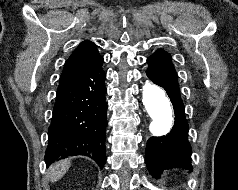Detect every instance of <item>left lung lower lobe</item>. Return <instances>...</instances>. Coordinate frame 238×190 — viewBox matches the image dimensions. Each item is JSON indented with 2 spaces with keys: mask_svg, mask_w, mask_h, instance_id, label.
<instances>
[{
  "mask_svg": "<svg viewBox=\"0 0 238 190\" xmlns=\"http://www.w3.org/2000/svg\"><path fill=\"white\" fill-rule=\"evenodd\" d=\"M147 63L149 67L146 74L167 92L173 105L175 121L167 135L149 138L146 147V165L154 177L159 176L162 170L171 167H183L191 171L189 128L171 55L163 50H157L148 57Z\"/></svg>",
  "mask_w": 238,
  "mask_h": 190,
  "instance_id": "1",
  "label": "left lung lower lobe"
}]
</instances>
